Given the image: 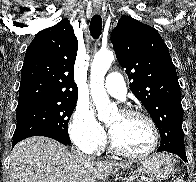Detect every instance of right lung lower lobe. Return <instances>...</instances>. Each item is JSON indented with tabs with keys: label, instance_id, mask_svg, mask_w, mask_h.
Wrapping results in <instances>:
<instances>
[{
	"label": "right lung lower lobe",
	"instance_id": "1",
	"mask_svg": "<svg viewBox=\"0 0 196 182\" xmlns=\"http://www.w3.org/2000/svg\"><path fill=\"white\" fill-rule=\"evenodd\" d=\"M31 136H46V137H50V138H53L59 142H61L62 144L64 145H69L66 141H64L60 136L56 135V134H53V133H35V134H32V135H29V136H25V137H21L15 141H13L12 143V148L21 140L27 138V137H31Z\"/></svg>",
	"mask_w": 196,
	"mask_h": 182
}]
</instances>
